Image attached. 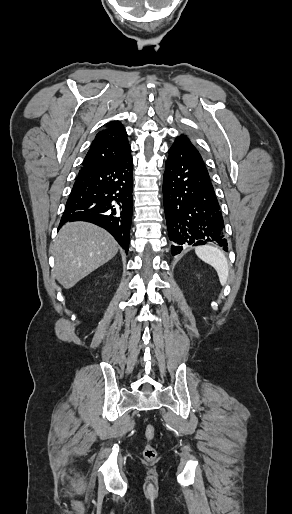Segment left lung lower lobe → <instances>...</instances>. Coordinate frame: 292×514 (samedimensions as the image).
<instances>
[{
	"label": "left lung lower lobe",
	"instance_id": "obj_1",
	"mask_svg": "<svg viewBox=\"0 0 292 514\" xmlns=\"http://www.w3.org/2000/svg\"><path fill=\"white\" fill-rule=\"evenodd\" d=\"M163 177V202L172 255L185 245L213 242L228 250L224 221L214 188L196 147L176 141Z\"/></svg>",
	"mask_w": 292,
	"mask_h": 514
}]
</instances>
